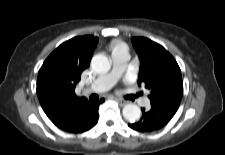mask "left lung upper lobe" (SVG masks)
<instances>
[{
    "instance_id": "1",
    "label": "left lung upper lobe",
    "mask_w": 225,
    "mask_h": 155,
    "mask_svg": "<svg viewBox=\"0 0 225 155\" xmlns=\"http://www.w3.org/2000/svg\"><path fill=\"white\" fill-rule=\"evenodd\" d=\"M132 44L140 58L139 85L150 90L151 107L176 112L183 96L180 68L161 45L143 37H133Z\"/></svg>"
}]
</instances>
